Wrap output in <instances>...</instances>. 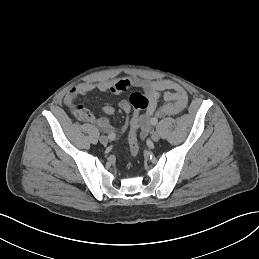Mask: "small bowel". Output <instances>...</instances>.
<instances>
[{
    "label": "small bowel",
    "mask_w": 259,
    "mask_h": 259,
    "mask_svg": "<svg viewBox=\"0 0 259 259\" xmlns=\"http://www.w3.org/2000/svg\"><path fill=\"white\" fill-rule=\"evenodd\" d=\"M130 87H138L144 91L149 105L140 117L141 137L145 138L151 127V120L156 115L168 116L182 112L188 104V94L186 90L171 80H145L137 77H127L119 80L101 81L97 83L84 82L72 87L65 96V102L71 105L77 96L86 95L93 91L119 93ZM163 93L164 103L159 106V98ZM84 108L83 106L79 105ZM119 107L128 116L131 113V105L128 100H122ZM85 109V108H84ZM86 110V109H85ZM103 113L112 115L115 109L111 105L102 107ZM85 121L95 124L106 133L123 132L128 127V118L118 128L114 127L106 117H96L86 110Z\"/></svg>",
    "instance_id": "obj_1"
}]
</instances>
